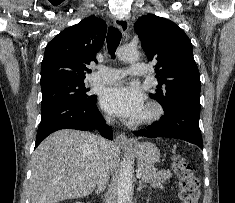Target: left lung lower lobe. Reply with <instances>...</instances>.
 I'll use <instances>...</instances> for the list:
<instances>
[{
	"mask_svg": "<svg viewBox=\"0 0 235 203\" xmlns=\"http://www.w3.org/2000/svg\"><path fill=\"white\" fill-rule=\"evenodd\" d=\"M165 115L157 122L141 131L136 136L148 138L167 137L185 140L203 149L199 128L200 104L194 101H181L164 110Z\"/></svg>",
	"mask_w": 235,
	"mask_h": 203,
	"instance_id": "0a47b994",
	"label": "left lung lower lobe"
}]
</instances>
